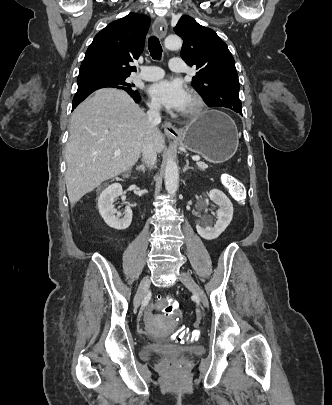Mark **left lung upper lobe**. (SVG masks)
I'll return each instance as SVG.
<instances>
[{
  "label": "left lung upper lobe",
  "mask_w": 332,
  "mask_h": 405,
  "mask_svg": "<svg viewBox=\"0 0 332 405\" xmlns=\"http://www.w3.org/2000/svg\"><path fill=\"white\" fill-rule=\"evenodd\" d=\"M174 31L183 39L181 57L196 66L192 83L209 107L242 109L235 61L226 43L210 28L184 15Z\"/></svg>",
  "instance_id": "left-lung-upper-lobe-1"
}]
</instances>
